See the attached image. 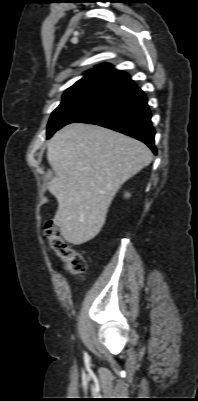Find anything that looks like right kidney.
<instances>
[{
  "label": "right kidney",
  "instance_id": "right-kidney-1",
  "mask_svg": "<svg viewBox=\"0 0 198 401\" xmlns=\"http://www.w3.org/2000/svg\"><path fill=\"white\" fill-rule=\"evenodd\" d=\"M126 196L129 197L130 195L127 193Z\"/></svg>",
  "mask_w": 198,
  "mask_h": 401
}]
</instances>
